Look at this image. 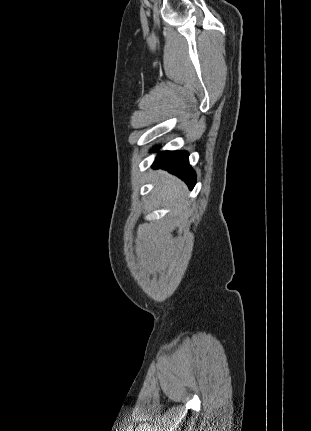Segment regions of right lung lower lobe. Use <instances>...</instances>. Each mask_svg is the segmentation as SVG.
I'll return each mask as SVG.
<instances>
[{"label":"right lung lower lobe","mask_w":311,"mask_h":431,"mask_svg":"<svg viewBox=\"0 0 311 431\" xmlns=\"http://www.w3.org/2000/svg\"><path fill=\"white\" fill-rule=\"evenodd\" d=\"M188 155L186 151L160 152L152 167L168 170L186 182L190 189H193L196 175L189 165Z\"/></svg>","instance_id":"right-lung-lower-lobe-1"}]
</instances>
